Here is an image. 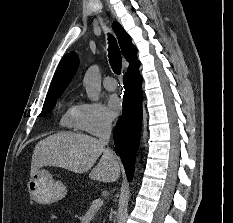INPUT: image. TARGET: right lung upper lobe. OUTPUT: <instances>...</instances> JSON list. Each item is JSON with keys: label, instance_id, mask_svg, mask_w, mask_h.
Segmentation results:
<instances>
[{"label": "right lung upper lobe", "instance_id": "obj_1", "mask_svg": "<svg viewBox=\"0 0 233 223\" xmlns=\"http://www.w3.org/2000/svg\"><path fill=\"white\" fill-rule=\"evenodd\" d=\"M113 29L116 32L121 51L126 60L130 63L128 70L138 67L139 61L137 60L136 48L131 43L129 35L117 22L113 23ZM78 63V55L75 52L68 53L62 58L54 74L44 106L55 103L56 99L61 96L75 75Z\"/></svg>", "mask_w": 233, "mask_h": 223}]
</instances>
